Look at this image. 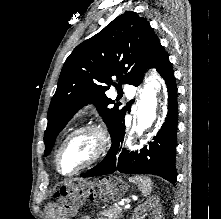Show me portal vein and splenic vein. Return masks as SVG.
Listing matches in <instances>:
<instances>
[{"mask_svg": "<svg viewBox=\"0 0 221 219\" xmlns=\"http://www.w3.org/2000/svg\"><path fill=\"white\" fill-rule=\"evenodd\" d=\"M118 205L125 206L124 202H120Z\"/></svg>", "mask_w": 221, "mask_h": 219, "instance_id": "portal-vein-and-splenic-vein-1", "label": "portal vein and splenic vein"}]
</instances>
